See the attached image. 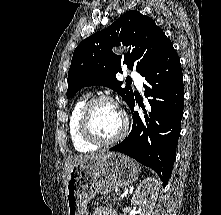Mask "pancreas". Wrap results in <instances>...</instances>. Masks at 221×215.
I'll return each mask as SVG.
<instances>
[{
    "mask_svg": "<svg viewBox=\"0 0 221 215\" xmlns=\"http://www.w3.org/2000/svg\"><path fill=\"white\" fill-rule=\"evenodd\" d=\"M117 196L115 194H112L111 196L109 195H104L102 197H99L96 199V204H103L106 206H111L112 204H117Z\"/></svg>",
    "mask_w": 221,
    "mask_h": 215,
    "instance_id": "pancreas-1",
    "label": "pancreas"
}]
</instances>
